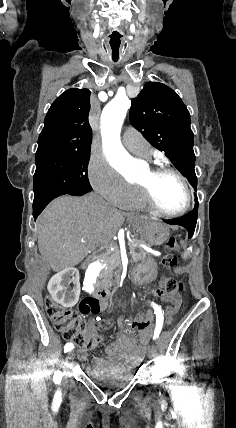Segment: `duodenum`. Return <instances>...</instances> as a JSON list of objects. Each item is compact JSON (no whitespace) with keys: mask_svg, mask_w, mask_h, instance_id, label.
Instances as JSON below:
<instances>
[{"mask_svg":"<svg viewBox=\"0 0 236 428\" xmlns=\"http://www.w3.org/2000/svg\"><path fill=\"white\" fill-rule=\"evenodd\" d=\"M92 293L94 297H96L100 301H107L111 295L110 289L104 284H98L92 289Z\"/></svg>","mask_w":236,"mask_h":428,"instance_id":"obj_1","label":"duodenum"}]
</instances>
